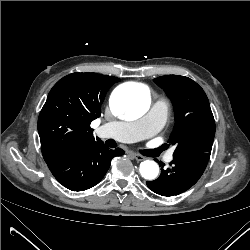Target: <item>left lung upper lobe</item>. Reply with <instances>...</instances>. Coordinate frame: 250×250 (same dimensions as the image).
<instances>
[{
    "label": "left lung upper lobe",
    "instance_id": "obj_1",
    "mask_svg": "<svg viewBox=\"0 0 250 250\" xmlns=\"http://www.w3.org/2000/svg\"><path fill=\"white\" fill-rule=\"evenodd\" d=\"M154 81L165 90L175 112V126L169 143L176 146L173 157L211 153L215 121L203 89L188 77L161 76Z\"/></svg>",
    "mask_w": 250,
    "mask_h": 250
}]
</instances>
